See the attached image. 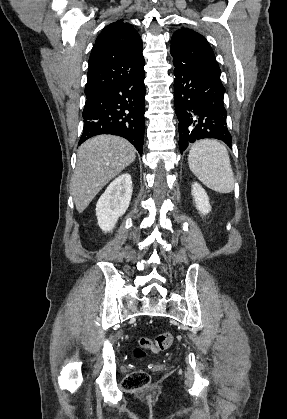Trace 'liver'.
I'll list each match as a JSON object with an SVG mask.
<instances>
[{
  "label": "liver",
  "instance_id": "obj_1",
  "mask_svg": "<svg viewBox=\"0 0 287 419\" xmlns=\"http://www.w3.org/2000/svg\"><path fill=\"white\" fill-rule=\"evenodd\" d=\"M135 158L134 146L119 136L99 135L84 142L78 149L71 180L77 211L82 213L100 190Z\"/></svg>",
  "mask_w": 287,
  "mask_h": 419
}]
</instances>
